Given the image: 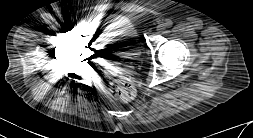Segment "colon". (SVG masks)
Segmentation results:
<instances>
[{"mask_svg":"<svg viewBox=\"0 0 253 138\" xmlns=\"http://www.w3.org/2000/svg\"><path fill=\"white\" fill-rule=\"evenodd\" d=\"M110 89L114 96L122 102L130 101L135 96V87L126 78L114 80L110 85Z\"/></svg>","mask_w":253,"mask_h":138,"instance_id":"5ec220e1","label":"colon"}]
</instances>
